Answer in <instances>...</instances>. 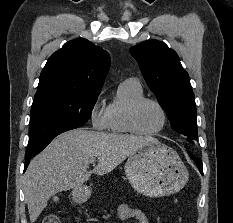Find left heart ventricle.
<instances>
[{
    "instance_id": "1",
    "label": "left heart ventricle",
    "mask_w": 233,
    "mask_h": 223,
    "mask_svg": "<svg viewBox=\"0 0 233 223\" xmlns=\"http://www.w3.org/2000/svg\"><path fill=\"white\" fill-rule=\"evenodd\" d=\"M138 123L144 132H156L160 130L164 124L162 111L154 103H145L140 109Z\"/></svg>"
}]
</instances>
